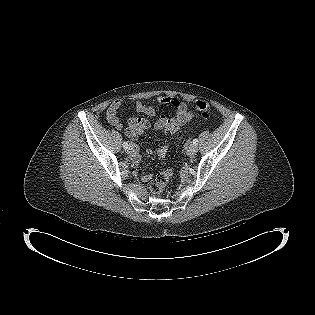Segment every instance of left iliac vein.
<instances>
[{
	"mask_svg": "<svg viewBox=\"0 0 315 315\" xmlns=\"http://www.w3.org/2000/svg\"><path fill=\"white\" fill-rule=\"evenodd\" d=\"M197 151H198V147L195 144H191L187 149V152L189 155H194L197 153Z\"/></svg>",
	"mask_w": 315,
	"mask_h": 315,
	"instance_id": "1",
	"label": "left iliac vein"
}]
</instances>
